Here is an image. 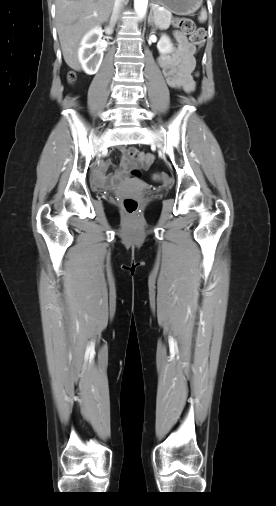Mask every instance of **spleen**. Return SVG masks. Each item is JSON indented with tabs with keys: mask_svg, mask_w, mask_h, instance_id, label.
<instances>
[{
	"mask_svg": "<svg viewBox=\"0 0 276 506\" xmlns=\"http://www.w3.org/2000/svg\"><path fill=\"white\" fill-rule=\"evenodd\" d=\"M206 19H207V12L205 9H202L200 16H199V21L204 22Z\"/></svg>",
	"mask_w": 276,
	"mask_h": 506,
	"instance_id": "3e777b00",
	"label": "spleen"
}]
</instances>
